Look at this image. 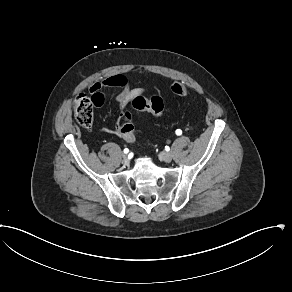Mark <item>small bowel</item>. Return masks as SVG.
I'll return each mask as SVG.
<instances>
[{
    "instance_id": "1",
    "label": "small bowel",
    "mask_w": 292,
    "mask_h": 292,
    "mask_svg": "<svg viewBox=\"0 0 292 292\" xmlns=\"http://www.w3.org/2000/svg\"><path fill=\"white\" fill-rule=\"evenodd\" d=\"M110 87H117L120 89L119 93L116 96V102L120 110L117 112L113 120V125L115 126V128H108L106 124H102L100 126V129L103 132L107 131L109 134L120 136L122 134L121 128L119 127L121 125L120 121L125 114L123 108H125L129 101L132 100L135 96L143 93L144 90L143 88H131L126 77H124L123 75H115L94 83L93 85H91L90 91L95 92L100 89Z\"/></svg>"
}]
</instances>
